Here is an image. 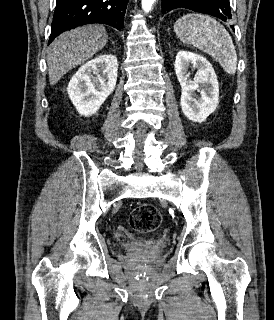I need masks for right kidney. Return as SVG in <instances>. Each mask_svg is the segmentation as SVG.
Masks as SVG:
<instances>
[{
	"label": "right kidney",
	"mask_w": 274,
	"mask_h": 320,
	"mask_svg": "<svg viewBox=\"0 0 274 320\" xmlns=\"http://www.w3.org/2000/svg\"><path fill=\"white\" fill-rule=\"evenodd\" d=\"M118 60L113 54H100L86 62L71 78L67 94L81 116L96 114L115 90Z\"/></svg>",
	"instance_id": "obj_1"
}]
</instances>
